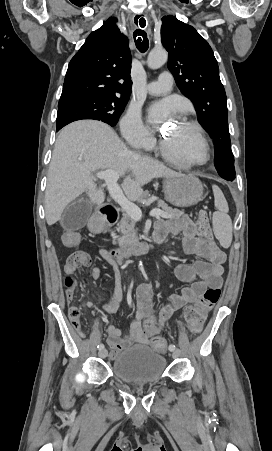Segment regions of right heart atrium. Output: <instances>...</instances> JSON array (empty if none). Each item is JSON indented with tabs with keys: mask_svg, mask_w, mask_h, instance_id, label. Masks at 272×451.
<instances>
[{
	"mask_svg": "<svg viewBox=\"0 0 272 451\" xmlns=\"http://www.w3.org/2000/svg\"><path fill=\"white\" fill-rule=\"evenodd\" d=\"M122 129L130 144L147 145L151 140V134L137 109L133 108L127 112L122 120Z\"/></svg>",
	"mask_w": 272,
	"mask_h": 451,
	"instance_id": "right-heart-atrium-1",
	"label": "right heart atrium"
}]
</instances>
